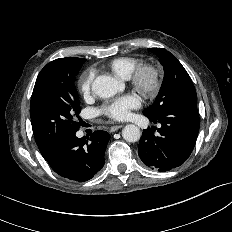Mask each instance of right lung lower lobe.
Returning <instances> with one entry per match:
<instances>
[{"label": "right lung lower lobe", "instance_id": "right-lung-lower-lobe-1", "mask_svg": "<svg viewBox=\"0 0 232 232\" xmlns=\"http://www.w3.org/2000/svg\"><path fill=\"white\" fill-rule=\"evenodd\" d=\"M87 139L77 138L75 133L64 137L45 160L62 177L78 182L87 181L103 167L110 135L98 130Z\"/></svg>", "mask_w": 232, "mask_h": 232}]
</instances>
